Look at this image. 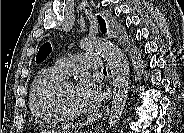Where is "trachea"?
<instances>
[{
	"mask_svg": "<svg viewBox=\"0 0 184 133\" xmlns=\"http://www.w3.org/2000/svg\"><path fill=\"white\" fill-rule=\"evenodd\" d=\"M106 71H107L106 68H104V69H103V72H106Z\"/></svg>",
	"mask_w": 184,
	"mask_h": 133,
	"instance_id": "trachea-1",
	"label": "trachea"
}]
</instances>
